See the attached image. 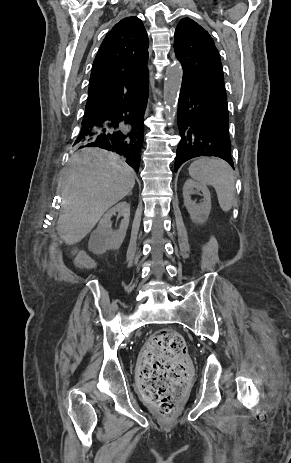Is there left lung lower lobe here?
I'll use <instances>...</instances> for the list:
<instances>
[{"label": "left lung lower lobe", "instance_id": "obj_1", "mask_svg": "<svg viewBox=\"0 0 291 463\" xmlns=\"http://www.w3.org/2000/svg\"><path fill=\"white\" fill-rule=\"evenodd\" d=\"M228 109L196 88L181 85L177 123L179 142L175 172L186 161L200 156H215L232 168Z\"/></svg>", "mask_w": 291, "mask_h": 463}]
</instances>
